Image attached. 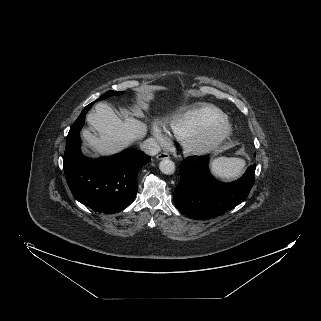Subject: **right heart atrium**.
I'll return each instance as SVG.
<instances>
[{
    "mask_svg": "<svg viewBox=\"0 0 321 321\" xmlns=\"http://www.w3.org/2000/svg\"><path fill=\"white\" fill-rule=\"evenodd\" d=\"M151 135L154 141L159 145L166 146L170 142L168 133L160 125L152 126Z\"/></svg>",
    "mask_w": 321,
    "mask_h": 321,
    "instance_id": "right-heart-atrium-1",
    "label": "right heart atrium"
}]
</instances>
